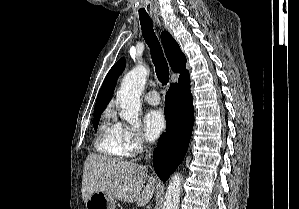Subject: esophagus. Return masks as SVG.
<instances>
[{"mask_svg": "<svg viewBox=\"0 0 299 209\" xmlns=\"http://www.w3.org/2000/svg\"><path fill=\"white\" fill-rule=\"evenodd\" d=\"M155 22H156L159 26H161V23H160L159 19L156 18V17H155Z\"/></svg>", "mask_w": 299, "mask_h": 209, "instance_id": "34e87169", "label": "esophagus"}]
</instances>
